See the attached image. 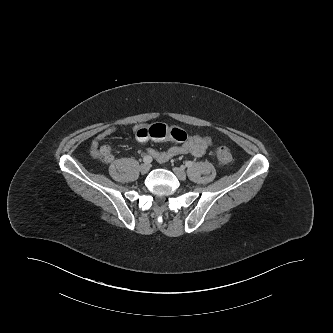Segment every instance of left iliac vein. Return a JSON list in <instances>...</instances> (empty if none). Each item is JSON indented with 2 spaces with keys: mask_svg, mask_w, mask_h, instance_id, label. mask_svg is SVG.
Listing matches in <instances>:
<instances>
[{
  "mask_svg": "<svg viewBox=\"0 0 333 333\" xmlns=\"http://www.w3.org/2000/svg\"><path fill=\"white\" fill-rule=\"evenodd\" d=\"M173 172L178 177V179L182 181L186 179V172L182 168L174 167Z\"/></svg>",
  "mask_w": 333,
  "mask_h": 333,
  "instance_id": "obj_1",
  "label": "left iliac vein"
}]
</instances>
